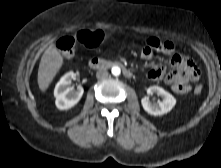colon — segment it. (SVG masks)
<instances>
[{
	"label": "colon",
	"mask_w": 221,
	"mask_h": 168,
	"mask_svg": "<svg viewBox=\"0 0 221 168\" xmlns=\"http://www.w3.org/2000/svg\"><path fill=\"white\" fill-rule=\"evenodd\" d=\"M104 32L101 30H83L80 31L76 37L65 36L58 40L57 47L61 53V55L65 59H70L74 55V50L76 43L79 42L86 47H97L104 40ZM146 45L151 47L156 51H162L167 46L162 41L157 38H149L146 41ZM176 56V55H175ZM202 92V86L197 85L194 88L195 94H200Z\"/></svg>",
	"instance_id": "colon-1"
}]
</instances>
